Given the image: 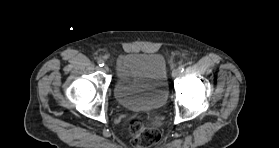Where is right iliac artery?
I'll use <instances>...</instances> for the list:
<instances>
[{
  "label": "right iliac artery",
  "mask_w": 279,
  "mask_h": 148,
  "mask_svg": "<svg viewBox=\"0 0 279 148\" xmlns=\"http://www.w3.org/2000/svg\"><path fill=\"white\" fill-rule=\"evenodd\" d=\"M98 65L100 66V67H102V66H104V61L103 60H98Z\"/></svg>",
  "instance_id": "1"
}]
</instances>
